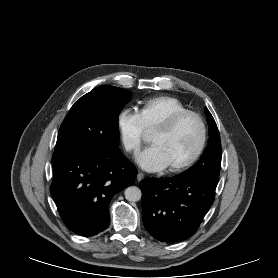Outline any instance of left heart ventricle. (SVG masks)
<instances>
[{
    "instance_id": "1",
    "label": "left heart ventricle",
    "mask_w": 278,
    "mask_h": 278,
    "mask_svg": "<svg viewBox=\"0 0 278 278\" xmlns=\"http://www.w3.org/2000/svg\"><path fill=\"white\" fill-rule=\"evenodd\" d=\"M200 140V128L193 118H186L174 130L165 133L153 131L152 144L160 147L168 166L187 159L196 150Z\"/></svg>"
}]
</instances>
